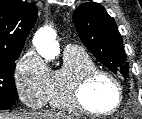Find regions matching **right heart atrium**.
<instances>
[{"label":"right heart atrium","mask_w":142,"mask_h":119,"mask_svg":"<svg viewBox=\"0 0 142 119\" xmlns=\"http://www.w3.org/2000/svg\"><path fill=\"white\" fill-rule=\"evenodd\" d=\"M51 71L43 58L33 49L25 52L16 64L14 84L23 103L39 108L48 100Z\"/></svg>","instance_id":"d8ad5b80"}]
</instances>
